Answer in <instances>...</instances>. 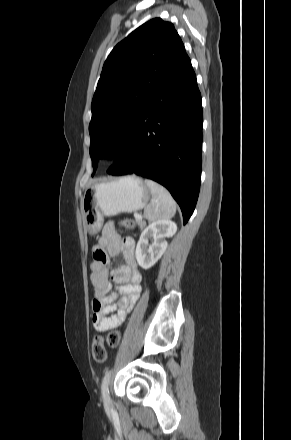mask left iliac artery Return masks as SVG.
I'll return each instance as SVG.
<instances>
[{"mask_svg": "<svg viewBox=\"0 0 291 440\" xmlns=\"http://www.w3.org/2000/svg\"><path fill=\"white\" fill-rule=\"evenodd\" d=\"M111 370L106 371L102 383H101V392L104 399V403L108 405L110 403V397H109V391H108V384L111 377Z\"/></svg>", "mask_w": 291, "mask_h": 440, "instance_id": "1", "label": "left iliac artery"}]
</instances>
